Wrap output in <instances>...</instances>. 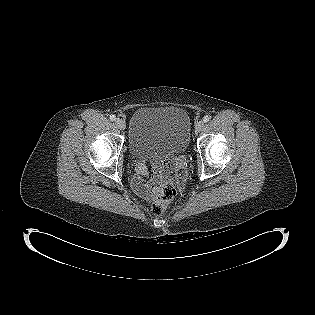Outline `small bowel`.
Returning <instances> with one entry per match:
<instances>
[{"label": "small bowel", "instance_id": "obj_1", "mask_svg": "<svg viewBox=\"0 0 315 315\" xmlns=\"http://www.w3.org/2000/svg\"><path fill=\"white\" fill-rule=\"evenodd\" d=\"M153 177L147 182V168L144 164L138 163L136 166V176L133 180V187L135 192L142 197H150L155 194L160 184L165 180L168 175V167L155 160L153 161Z\"/></svg>", "mask_w": 315, "mask_h": 315}]
</instances>
